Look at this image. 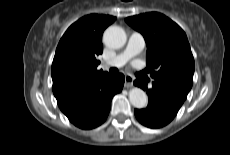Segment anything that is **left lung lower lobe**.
Segmentation results:
<instances>
[{
    "label": "left lung lower lobe",
    "mask_w": 230,
    "mask_h": 155,
    "mask_svg": "<svg viewBox=\"0 0 230 155\" xmlns=\"http://www.w3.org/2000/svg\"><path fill=\"white\" fill-rule=\"evenodd\" d=\"M134 84L148 93V106L135 109L134 113L137 120L149 128H160L171 122L187 98V94L178 89L156 81L152 83V88L139 79Z\"/></svg>",
    "instance_id": "left-lung-lower-lobe-1"
}]
</instances>
